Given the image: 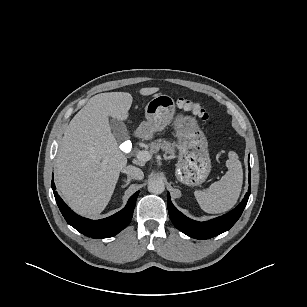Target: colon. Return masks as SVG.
<instances>
[{
  "label": "colon",
  "mask_w": 307,
  "mask_h": 307,
  "mask_svg": "<svg viewBox=\"0 0 307 307\" xmlns=\"http://www.w3.org/2000/svg\"><path fill=\"white\" fill-rule=\"evenodd\" d=\"M177 106L183 111L191 112L206 124H210L209 112L201 102L189 98H179Z\"/></svg>",
  "instance_id": "5ec220e1"
}]
</instances>
